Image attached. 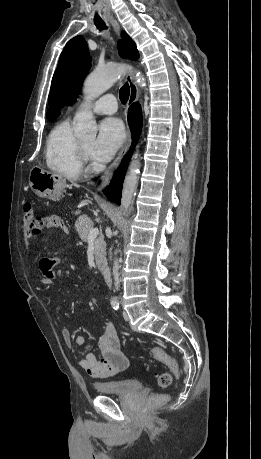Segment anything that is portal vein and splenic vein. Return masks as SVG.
Instances as JSON below:
<instances>
[{
    "label": "portal vein and splenic vein",
    "instance_id": "obj_1",
    "mask_svg": "<svg viewBox=\"0 0 261 459\" xmlns=\"http://www.w3.org/2000/svg\"><path fill=\"white\" fill-rule=\"evenodd\" d=\"M99 234L98 228H92L89 230L88 239H94Z\"/></svg>",
    "mask_w": 261,
    "mask_h": 459
}]
</instances>
